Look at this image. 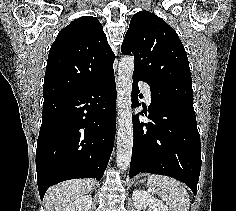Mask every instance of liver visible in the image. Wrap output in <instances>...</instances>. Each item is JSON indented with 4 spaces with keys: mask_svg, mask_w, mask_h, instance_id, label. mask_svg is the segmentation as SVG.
Returning <instances> with one entry per match:
<instances>
[{
    "mask_svg": "<svg viewBox=\"0 0 236 211\" xmlns=\"http://www.w3.org/2000/svg\"><path fill=\"white\" fill-rule=\"evenodd\" d=\"M93 188V182L85 179H75L50 187L45 196L46 211H63L76 199L88 194Z\"/></svg>",
    "mask_w": 236,
    "mask_h": 211,
    "instance_id": "liver-1",
    "label": "liver"
}]
</instances>
